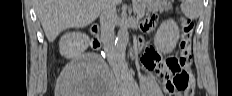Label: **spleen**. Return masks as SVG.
<instances>
[{
	"mask_svg": "<svg viewBox=\"0 0 232 96\" xmlns=\"http://www.w3.org/2000/svg\"><path fill=\"white\" fill-rule=\"evenodd\" d=\"M181 10L183 14L191 19H197L203 10V4L201 0H183L181 3Z\"/></svg>",
	"mask_w": 232,
	"mask_h": 96,
	"instance_id": "spleen-1",
	"label": "spleen"
}]
</instances>
